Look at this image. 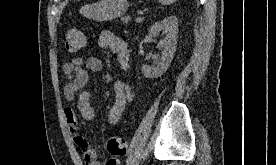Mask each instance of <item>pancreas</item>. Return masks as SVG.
<instances>
[{
	"label": "pancreas",
	"mask_w": 276,
	"mask_h": 165,
	"mask_svg": "<svg viewBox=\"0 0 276 165\" xmlns=\"http://www.w3.org/2000/svg\"><path fill=\"white\" fill-rule=\"evenodd\" d=\"M129 20H130V18H129V17H127V18L123 19V21H124L125 23H127Z\"/></svg>",
	"instance_id": "pancreas-1"
}]
</instances>
